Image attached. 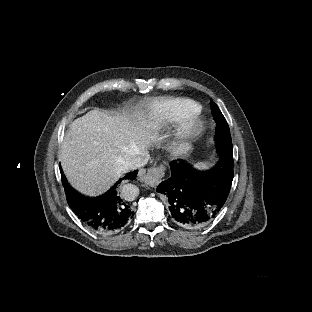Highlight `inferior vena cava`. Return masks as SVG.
Wrapping results in <instances>:
<instances>
[{
    "label": "inferior vena cava",
    "instance_id": "1",
    "mask_svg": "<svg viewBox=\"0 0 312 312\" xmlns=\"http://www.w3.org/2000/svg\"><path fill=\"white\" fill-rule=\"evenodd\" d=\"M147 155H148V151H146V155L144 156L134 157L131 161L126 162L125 168L127 170H134L135 168L144 166L147 163V159H146Z\"/></svg>",
    "mask_w": 312,
    "mask_h": 312
}]
</instances>
